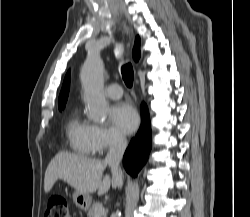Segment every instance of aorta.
Wrapping results in <instances>:
<instances>
[{
	"label": "aorta",
	"mask_w": 250,
	"mask_h": 217,
	"mask_svg": "<svg viewBox=\"0 0 250 217\" xmlns=\"http://www.w3.org/2000/svg\"><path fill=\"white\" fill-rule=\"evenodd\" d=\"M103 73L104 66L99 56L88 55L80 71V79L88 117L96 123H103L109 111V105L103 91Z\"/></svg>",
	"instance_id": "obj_1"
}]
</instances>
